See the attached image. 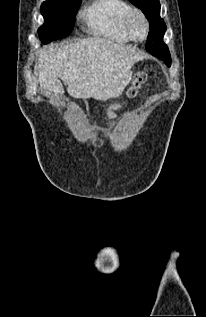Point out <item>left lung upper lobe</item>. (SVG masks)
<instances>
[{
  "mask_svg": "<svg viewBox=\"0 0 206 317\" xmlns=\"http://www.w3.org/2000/svg\"><path fill=\"white\" fill-rule=\"evenodd\" d=\"M132 4L140 8L145 14L146 18L150 21V32L147 38V44L154 43L155 41H162L166 31L164 20L160 17V3L159 0H129ZM147 49V47H146ZM162 60L171 65V58L169 53H165Z\"/></svg>",
  "mask_w": 206,
  "mask_h": 317,
  "instance_id": "1",
  "label": "left lung upper lobe"
}]
</instances>
